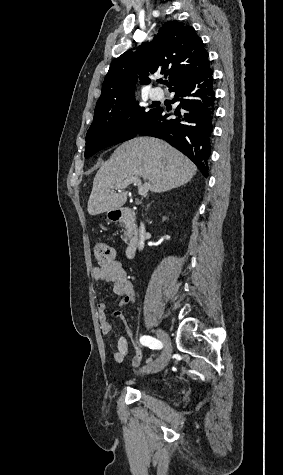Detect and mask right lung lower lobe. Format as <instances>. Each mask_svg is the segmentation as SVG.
Listing matches in <instances>:
<instances>
[{"label":"right lung lower lobe","mask_w":283,"mask_h":475,"mask_svg":"<svg viewBox=\"0 0 283 475\" xmlns=\"http://www.w3.org/2000/svg\"><path fill=\"white\" fill-rule=\"evenodd\" d=\"M212 70L185 78L169 91L175 92L178 107L171 114L158 107L156 114L139 131L140 134L161 138L188 156L202 174L208 176L210 140L215 118V91Z\"/></svg>","instance_id":"obj_1"}]
</instances>
